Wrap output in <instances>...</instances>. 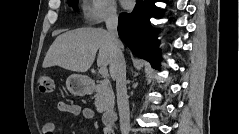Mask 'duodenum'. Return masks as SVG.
<instances>
[{"mask_svg":"<svg viewBox=\"0 0 239 134\" xmlns=\"http://www.w3.org/2000/svg\"><path fill=\"white\" fill-rule=\"evenodd\" d=\"M88 86L92 87L93 84L91 82H88ZM116 120H117L116 111L108 110L105 112L103 116V125L106 129L111 130L114 127Z\"/></svg>","mask_w":239,"mask_h":134,"instance_id":"410a0bca","label":"duodenum"}]
</instances>
